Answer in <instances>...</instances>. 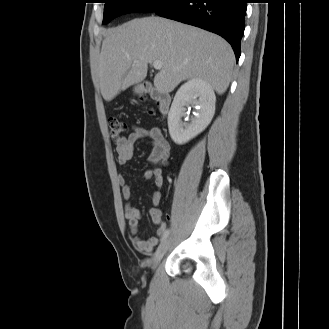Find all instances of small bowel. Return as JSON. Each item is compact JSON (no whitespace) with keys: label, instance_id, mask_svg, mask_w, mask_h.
Returning a JSON list of instances; mask_svg holds the SVG:
<instances>
[{"label":"small bowel","instance_id":"obj_1","mask_svg":"<svg viewBox=\"0 0 329 329\" xmlns=\"http://www.w3.org/2000/svg\"><path fill=\"white\" fill-rule=\"evenodd\" d=\"M144 139H149L152 143V152L149 156V162L153 167L144 172V177L146 179H153L155 190L152 195L153 207L150 209V217L153 223L157 225L156 235L149 238H141L137 235L141 214L139 209L130 204L132 188L124 175H120L118 181L122 189V197L125 201L124 213L133 236L134 247L138 252L148 256L152 254L154 247L158 245L159 238L164 233L166 227L162 219V212L158 205L162 197L161 191L164 186L163 170L160 165L168 162L170 157V145L159 128L135 126L128 136L115 141V147L118 163L120 165H126L133 156L135 145Z\"/></svg>","mask_w":329,"mask_h":329}]
</instances>
